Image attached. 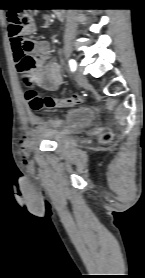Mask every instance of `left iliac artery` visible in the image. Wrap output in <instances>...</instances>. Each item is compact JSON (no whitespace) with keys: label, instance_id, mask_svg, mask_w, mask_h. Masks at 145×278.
Wrapping results in <instances>:
<instances>
[{"label":"left iliac artery","instance_id":"left-iliac-artery-1","mask_svg":"<svg viewBox=\"0 0 145 278\" xmlns=\"http://www.w3.org/2000/svg\"><path fill=\"white\" fill-rule=\"evenodd\" d=\"M69 67L72 72L76 70L77 64L74 59L69 60Z\"/></svg>","mask_w":145,"mask_h":278}]
</instances>
